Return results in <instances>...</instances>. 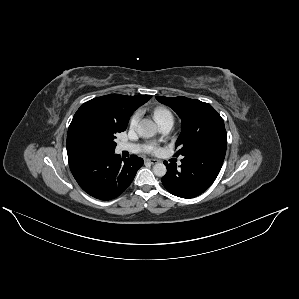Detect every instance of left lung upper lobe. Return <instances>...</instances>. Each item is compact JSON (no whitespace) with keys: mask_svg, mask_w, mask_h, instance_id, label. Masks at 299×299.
Returning <instances> with one entry per match:
<instances>
[{"mask_svg":"<svg viewBox=\"0 0 299 299\" xmlns=\"http://www.w3.org/2000/svg\"><path fill=\"white\" fill-rule=\"evenodd\" d=\"M156 99L171 107L182 119L181 134L176 141L179 150L175 155L187 156L204 149H226L224 121L210 104L183 96H157Z\"/></svg>","mask_w":299,"mask_h":299,"instance_id":"left-lung-upper-lobe-1","label":"left lung upper lobe"}]
</instances>
